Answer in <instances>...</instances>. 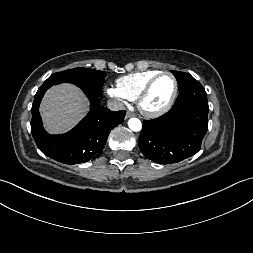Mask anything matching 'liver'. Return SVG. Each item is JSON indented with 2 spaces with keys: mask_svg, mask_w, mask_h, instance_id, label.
<instances>
[{
  "mask_svg": "<svg viewBox=\"0 0 253 253\" xmlns=\"http://www.w3.org/2000/svg\"><path fill=\"white\" fill-rule=\"evenodd\" d=\"M87 110V98L72 84L53 86L46 92L40 106L44 126L52 134L71 129Z\"/></svg>",
  "mask_w": 253,
  "mask_h": 253,
  "instance_id": "obj_1",
  "label": "liver"
}]
</instances>
